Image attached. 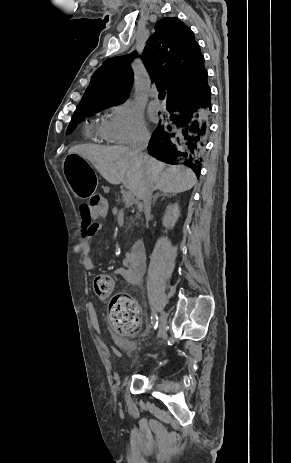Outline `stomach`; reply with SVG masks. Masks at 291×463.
<instances>
[{
	"mask_svg": "<svg viewBox=\"0 0 291 463\" xmlns=\"http://www.w3.org/2000/svg\"><path fill=\"white\" fill-rule=\"evenodd\" d=\"M65 179L79 199H86L96 190V177L88 161L82 156L70 152L64 160Z\"/></svg>",
	"mask_w": 291,
	"mask_h": 463,
	"instance_id": "1",
	"label": "stomach"
}]
</instances>
